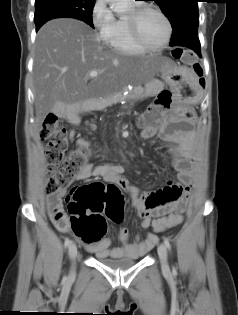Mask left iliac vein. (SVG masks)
I'll return each mask as SVG.
<instances>
[{"label":"left iliac vein","mask_w":238,"mask_h":315,"mask_svg":"<svg viewBox=\"0 0 238 315\" xmlns=\"http://www.w3.org/2000/svg\"><path fill=\"white\" fill-rule=\"evenodd\" d=\"M158 254L161 261L162 270L164 272H169V265L167 261V249L164 244L158 246Z\"/></svg>","instance_id":"1"}]
</instances>
